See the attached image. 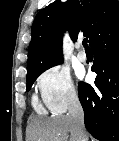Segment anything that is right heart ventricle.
<instances>
[{
  "label": "right heart ventricle",
  "instance_id": "obj_1",
  "mask_svg": "<svg viewBox=\"0 0 119 141\" xmlns=\"http://www.w3.org/2000/svg\"><path fill=\"white\" fill-rule=\"evenodd\" d=\"M33 102H34V105H35L36 109H37V110H40L41 107H40V105H39L37 99L34 98V99H33Z\"/></svg>",
  "mask_w": 119,
  "mask_h": 141
}]
</instances>
